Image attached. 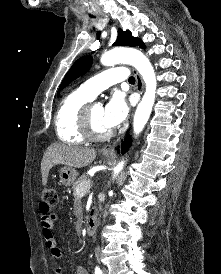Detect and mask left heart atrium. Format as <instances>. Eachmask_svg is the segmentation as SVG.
Wrapping results in <instances>:
<instances>
[{
    "instance_id": "1",
    "label": "left heart atrium",
    "mask_w": 221,
    "mask_h": 274,
    "mask_svg": "<svg viewBox=\"0 0 221 274\" xmlns=\"http://www.w3.org/2000/svg\"><path fill=\"white\" fill-rule=\"evenodd\" d=\"M129 111L128 104L120 94L114 95L103 109L102 123L111 130L124 121Z\"/></svg>"
}]
</instances>
